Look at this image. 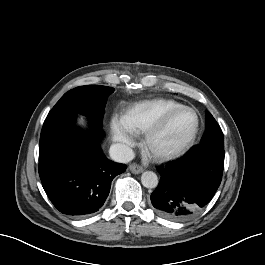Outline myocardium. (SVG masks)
<instances>
[{"label":"myocardium","instance_id":"myocardium-1","mask_svg":"<svg viewBox=\"0 0 265 265\" xmlns=\"http://www.w3.org/2000/svg\"><path fill=\"white\" fill-rule=\"evenodd\" d=\"M182 111H190L195 116V126L190 136L181 144L173 147L161 148L157 146L156 140L159 134L164 130L168 121L176 114ZM200 129V118L197 111L190 106H180L175 109L164 112L153 125L144 133L143 147L150 156L157 161H167L180 157L186 153L194 144Z\"/></svg>","mask_w":265,"mask_h":265}]
</instances>
